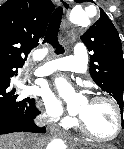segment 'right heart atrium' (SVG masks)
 Segmentation results:
<instances>
[{
  "mask_svg": "<svg viewBox=\"0 0 124 149\" xmlns=\"http://www.w3.org/2000/svg\"><path fill=\"white\" fill-rule=\"evenodd\" d=\"M45 106L46 112L50 117H60L62 115L61 108L53 100L46 99ZM62 122L65 126H69L72 125L75 122V120L71 117L65 116L63 117Z\"/></svg>",
  "mask_w": 124,
  "mask_h": 149,
  "instance_id": "d8ad5b80",
  "label": "right heart atrium"
}]
</instances>
